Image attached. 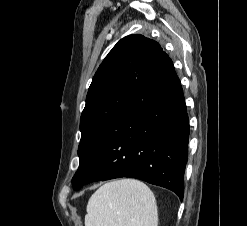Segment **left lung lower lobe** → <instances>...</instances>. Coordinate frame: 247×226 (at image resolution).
<instances>
[{"label":"left lung lower lobe","mask_w":247,"mask_h":226,"mask_svg":"<svg viewBox=\"0 0 247 226\" xmlns=\"http://www.w3.org/2000/svg\"><path fill=\"white\" fill-rule=\"evenodd\" d=\"M189 118L173 63L161 52L79 172L82 184L132 177L183 199Z\"/></svg>","instance_id":"1"}]
</instances>
